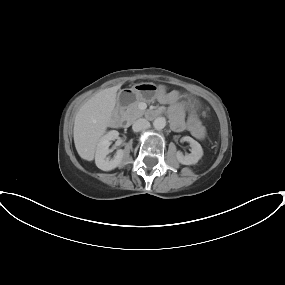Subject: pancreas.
I'll list each match as a JSON object with an SVG mask.
<instances>
[{
	"label": "pancreas",
	"instance_id": "pancreas-1",
	"mask_svg": "<svg viewBox=\"0 0 285 285\" xmlns=\"http://www.w3.org/2000/svg\"><path fill=\"white\" fill-rule=\"evenodd\" d=\"M139 103L140 101H135L126 108L124 114L128 121H134L146 113V111L139 109Z\"/></svg>",
	"mask_w": 285,
	"mask_h": 285
}]
</instances>
